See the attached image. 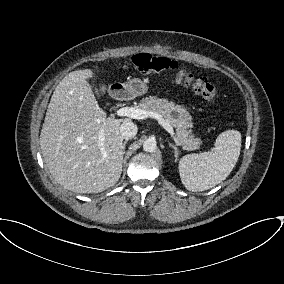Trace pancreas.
Wrapping results in <instances>:
<instances>
[{
	"label": "pancreas",
	"instance_id": "obj_1",
	"mask_svg": "<svg viewBox=\"0 0 284 284\" xmlns=\"http://www.w3.org/2000/svg\"><path fill=\"white\" fill-rule=\"evenodd\" d=\"M138 107L148 112L158 113L170 120L176 128V138L185 150H196L201 147V139L195 138L192 134L193 123L185 108L175 105L165 98L160 99L155 96L142 99Z\"/></svg>",
	"mask_w": 284,
	"mask_h": 284
}]
</instances>
